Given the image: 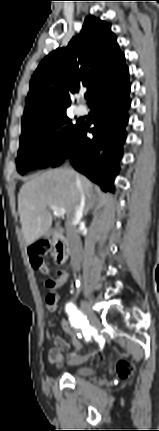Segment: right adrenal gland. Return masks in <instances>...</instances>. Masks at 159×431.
<instances>
[{"instance_id":"obj_1","label":"right adrenal gland","mask_w":159,"mask_h":431,"mask_svg":"<svg viewBox=\"0 0 159 431\" xmlns=\"http://www.w3.org/2000/svg\"><path fill=\"white\" fill-rule=\"evenodd\" d=\"M87 204H86V207H85V210H84V215L86 216L87 214H88V211H89V209L91 208V204H90V202H91V200L95 197V195H94V193L92 192V191H90L88 194H87Z\"/></svg>"}]
</instances>
